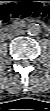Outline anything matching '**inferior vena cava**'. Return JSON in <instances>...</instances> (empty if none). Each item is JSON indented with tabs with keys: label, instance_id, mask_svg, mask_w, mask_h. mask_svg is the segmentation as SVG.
Here are the masks:
<instances>
[{
	"label": "inferior vena cava",
	"instance_id": "1",
	"mask_svg": "<svg viewBox=\"0 0 50 111\" xmlns=\"http://www.w3.org/2000/svg\"><path fill=\"white\" fill-rule=\"evenodd\" d=\"M23 34H24V30H22V29H15L11 33L12 36H19V35H23Z\"/></svg>",
	"mask_w": 50,
	"mask_h": 111
}]
</instances>
